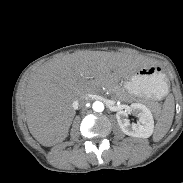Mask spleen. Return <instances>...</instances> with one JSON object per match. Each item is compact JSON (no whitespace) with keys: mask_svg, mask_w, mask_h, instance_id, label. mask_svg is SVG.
I'll use <instances>...</instances> for the list:
<instances>
[{"mask_svg":"<svg viewBox=\"0 0 183 183\" xmlns=\"http://www.w3.org/2000/svg\"><path fill=\"white\" fill-rule=\"evenodd\" d=\"M167 92H168V87H167ZM174 109H175L174 100L171 96H168L164 103L161 115L157 121L155 132L153 135V141L158 142L169 131L172 125L173 117H174Z\"/></svg>","mask_w":183,"mask_h":183,"instance_id":"obj_1","label":"spleen"}]
</instances>
